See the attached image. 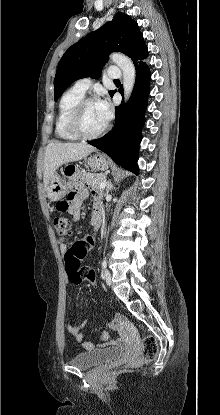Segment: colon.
<instances>
[{
	"label": "colon",
	"mask_w": 220,
	"mask_h": 415,
	"mask_svg": "<svg viewBox=\"0 0 220 415\" xmlns=\"http://www.w3.org/2000/svg\"><path fill=\"white\" fill-rule=\"evenodd\" d=\"M68 202L63 200L57 203V209L67 208ZM54 228L60 238H64L70 233L71 224L66 217H57L54 220ZM89 251L87 243L82 239L76 241L70 249L64 254L66 272L69 281L78 285L83 282L94 283V274L92 269L81 267V261L86 257ZM158 352V344L153 336H147L142 341V352L138 357L133 358L127 363L129 368H138L146 362L152 361Z\"/></svg>",
	"instance_id": "colon-1"
}]
</instances>
